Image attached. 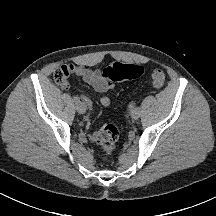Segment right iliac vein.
Listing matches in <instances>:
<instances>
[{
  "label": "right iliac vein",
  "instance_id": "63e3f726",
  "mask_svg": "<svg viewBox=\"0 0 216 216\" xmlns=\"http://www.w3.org/2000/svg\"><path fill=\"white\" fill-rule=\"evenodd\" d=\"M76 109L78 113L83 114L86 112V105L83 102H78L76 104Z\"/></svg>",
  "mask_w": 216,
  "mask_h": 216
}]
</instances>
